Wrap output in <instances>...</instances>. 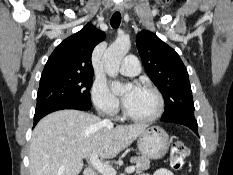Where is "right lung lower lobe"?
I'll return each mask as SVG.
<instances>
[{
	"label": "right lung lower lobe",
	"instance_id": "98d812e1",
	"mask_svg": "<svg viewBox=\"0 0 233 175\" xmlns=\"http://www.w3.org/2000/svg\"><path fill=\"white\" fill-rule=\"evenodd\" d=\"M91 106H81V105H53L46 108H43L39 111H35L34 115V126L37 124V122L44 117L45 115L57 111V110H63V109H77V110H89ZM33 126V127H34Z\"/></svg>",
	"mask_w": 233,
	"mask_h": 175
}]
</instances>
